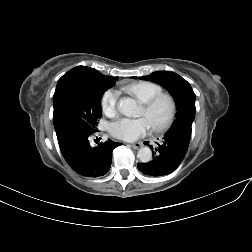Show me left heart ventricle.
<instances>
[{"instance_id":"obj_1","label":"left heart ventricle","mask_w":252,"mask_h":252,"mask_svg":"<svg viewBox=\"0 0 252 252\" xmlns=\"http://www.w3.org/2000/svg\"><path fill=\"white\" fill-rule=\"evenodd\" d=\"M167 113H168V104L165 100H162L149 113H146L142 107L140 111V116H143L147 120L149 127H151L161 124L166 118Z\"/></svg>"}]
</instances>
